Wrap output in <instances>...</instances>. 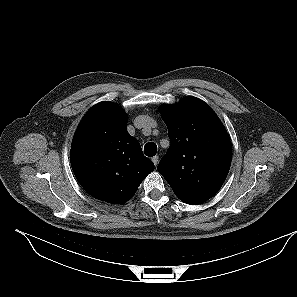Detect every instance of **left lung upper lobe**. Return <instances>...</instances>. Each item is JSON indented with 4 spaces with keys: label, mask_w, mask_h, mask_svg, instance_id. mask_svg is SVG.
Returning a JSON list of instances; mask_svg holds the SVG:
<instances>
[{
    "label": "left lung upper lobe",
    "mask_w": 297,
    "mask_h": 297,
    "mask_svg": "<svg viewBox=\"0 0 297 297\" xmlns=\"http://www.w3.org/2000/svg\"><path fill=\"white\" fill-rule=\"evenodd\" d=\"M160 111L171 145L157 169L181 201L201 204L227 177L232 160L229 135L215 112L196 97L162 105Z\"/></svg>",
    "instance_id": "5c2ea615"
}]
</instances>
